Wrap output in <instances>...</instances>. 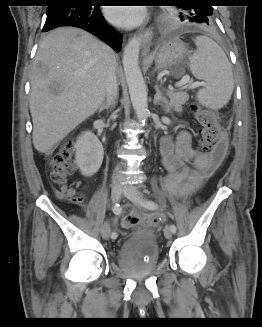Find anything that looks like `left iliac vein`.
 Returning <instances> with one entry per match:
<instances>
[{
    "label": "left iliac vein",
    "instance_id": "obj_1",
    "mask_svg": "<svg viewBox=\"0 0 262 327\" xmlns=\"http://www.w3.org/2000/svg\"><path fill=\"white\" fill-rule=\"evenodd\" d=\"M122 193L128 199H130L135 204H141V200L143 199V195L140 191H138L134 186L125 185L122 189ZM164 236L166 239H170L172 237V231L169 227L164 228Z\"/></svg>",
    "mask_w": 262,
    "mask_h": 327
}]
</instances>
